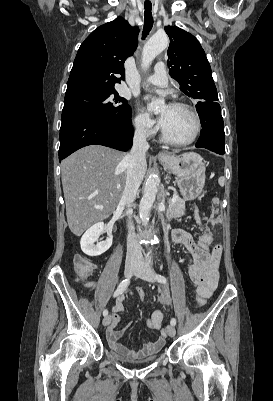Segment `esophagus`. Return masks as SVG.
Here are the masks:
<instances>
[{
  "mask_svg": "<svg viewBox=\"0 0 273 401\" xmlns=\"http://www.w3.org/2000/svg\"><path fill=\"white\" fill-rule=\"evenodd\" d=\"M168 156L169 155L167 153H165L164 151L159 152L157 155L158 159H166V158H168Z\"/></svg>",
  "mask_w": 273,
  "mask_h": 401,
  "instance_id": "1",
  "label": "esophagus"
}]
</instances>
